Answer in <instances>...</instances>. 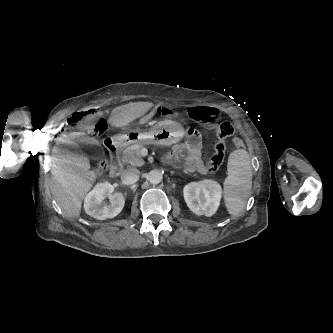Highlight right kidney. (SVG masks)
Segmentation results:
<instances>
[{
  "label": "right kidney",
  "instance_id": "obj_1",
  "mask_svg": "<svg viewBox=\"0 0 333 333\" xmlns=\"http://www.w3.org/2000/svg\"><path fill=\"white\" fill-rule=\"evenodd\" d=\"M110 203H103L105 198ZM124 196L120 192H114V187L109 182H100L86 195L84 199L85 212L98 220L117 216L124 207Z\"/></svg>",
  "mask_w": 333,
  "mask_h": 333
}]
</instances>
